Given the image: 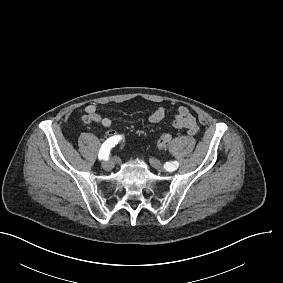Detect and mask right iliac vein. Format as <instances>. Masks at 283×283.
Here are the masks:
<instances>
[{
    "mask_svg": "<svg viewBox=\"0 0 283 283\" xmlns=\"http://www.w3.org/2000/svg\"><path fill=\"white\" fill-rule=\"evenodd\" d=\"M114 159L112 158L111 160L109 161H104L102 163V167L105 169V170H111L113 167H114Z\"/></svg>",
    "mask_w": 283,
    "mask_h": 283,
    "instance_id": "63e3f726",
    "label": "right iliac vein"
}]
</instances>
